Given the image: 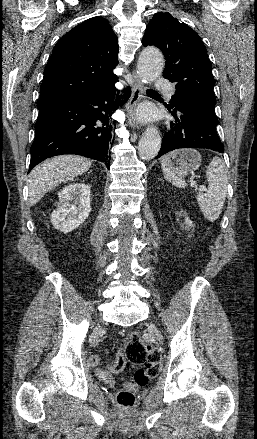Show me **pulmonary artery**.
<instances>
[{
  "mask_svg": "<svg viewBox=\"0 0 257 439\" xmlns=\"http://www.w3.org/2000/svg\"><path fill=\"white\" fill-rule=\"evenodd\" d=\"M155 89L164 93L168 98H171L174 95L172 84L165 78H158L155 80Z\"/></svg>",
  "mask_w": 257,
  "mask_h": 439,
  "instance_id": "pulmonary-artery-1",
  "label": "pulmonary artery"
}]
</instances>
